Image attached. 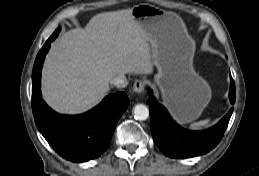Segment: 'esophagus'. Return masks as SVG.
I'll return each mask as SVG.
<instances>
[{
    "label": "esophagus",
    "mask_w": 259,
    "mask_h": 176,
    "mask_svg": "<svg viewBox=\"0 0 259 176\" xmlns=\"http://www.w3.org/2000/svg\"><path fill=\"white\" fill-rule=\"evenodd\" d=\"M145 82L143 80H136L133 84V91L137 94H140L145 89Z\"/></svg>",
    "instance_id": "1"
}]
</instances>
